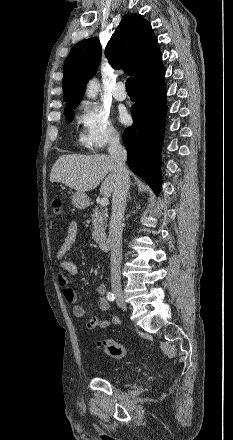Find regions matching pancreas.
<instances>
[{"mask_svg":"<svg viewBox=\"0 0 233 440\" xmlns=\"http://www.w3.org/2000/svg\"><path fill=\"white\" fill-rule=\"evenodd\" d=\"M93 223L92 239L99 242L105 239V229L107 227V215L104 209L96 207L91 214Z\"/></svg>","mask_w":233,"mask_h":440,"instance_id":"pancreas-1","label":"pancreas"}]
</instances>
